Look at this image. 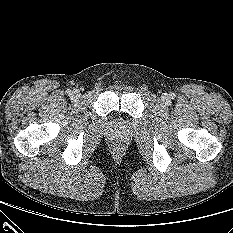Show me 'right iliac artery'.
I'll return each mask as SVG.
<instances>
[{
	"label": "right iliac artery",
	"mask_w": 233,
	"mask_h": 233,
	"mask_svg": "<svg viewBox=\"0 0 233 233\" xmlns=\"http://www.w3.org/2000/svg\"><path fill=\"white\" fill-rule=\"evenodd\" d=\"M66 93H67V95H72V91L71 90H67Z\"/></svg>",
	"instance_id": "right-iliac-artery-1"
}]
</instances>
